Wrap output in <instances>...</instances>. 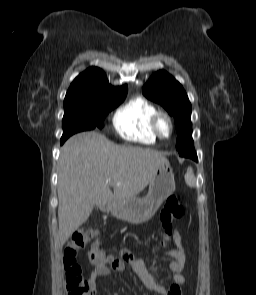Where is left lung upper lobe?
Masks as SVG:
<instances>
[{"instance_id":"left-lung-upper-lobe-1","label":"left lung upper lobe","mask_w":256,"mask_h":295,"mask_svg":"<svg viewBox=\"0 0 256 295\" xmlns=\"http://www.w3.org/2000/svg\"><path fill=\"white\" fill-rule=\"evenodd\" d=\"M143 94L150 100L162 105L174 116L178 140L176 149L180 156L186 157L194 149L191 124V104L182 85L165 71L152 75L143 87Z\"/></svg>"}]
</instances>
